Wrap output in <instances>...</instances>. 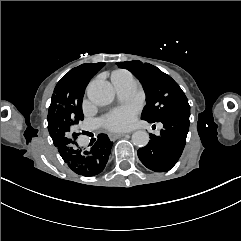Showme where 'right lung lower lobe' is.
Masks as SVG:
<instances>
[{
	"label": "right lung lower lobe",
	"instance_id": "1",
	"mask_svg": "<svg viewBox=\"0 0 241 241\" xmlns=\"http://www.w3.org/2000/svg\"><path fill=\"white\" fill-rule=\"evenodd\" d=\"M112 145L113 142L106 134H100L95 144L88 150L80 149L77 142L57 147L62 159L71 170L89 177L97 175L105 169Z\"/></svg>",
	"mask_w": 241,
	"mask_h": 241
}]
</instances>
